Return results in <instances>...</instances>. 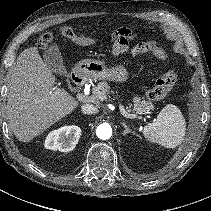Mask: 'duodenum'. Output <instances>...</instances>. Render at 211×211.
<instances>
[{"label": "duodenum", "mask_w": 211, "mask_h": 211, "mask_svg": "<svg viewBox=\"0 0 211 211\" xmlns=\"http://www.w3.org/2000/svg\"><path fill=\"white\" fill-rule=\"evenodd\" d=\"M72 78L74 80V82L78 85H82L84 83V80L81 78L79 73H73L72 74Z\"/></svg>", "instance_id": "410a0bca"}]
</instances>
